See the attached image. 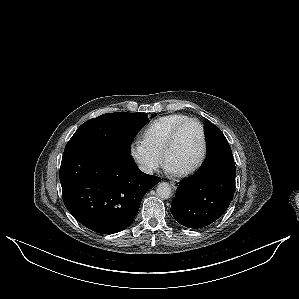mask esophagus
I'll list each match as a JSON object with an SVG mask.
<instances>
[{
  "label": "esophagus",
  "mask_w": 299,
  "mask_h": 299,
  "mask_svg": "<svg viewBox=\"0 0 299 299\" xmlns=\"http://www.w3.org/2000/svg\"><path fill=\"white\" fill-rule=\"evenodd\" d=\"M170 185H171L174 189H177L178 186H179V183H178V181L172 180V181H170Z\"/></svg>",
  "instance_id": "esophagus-1"
}]
</instances>
